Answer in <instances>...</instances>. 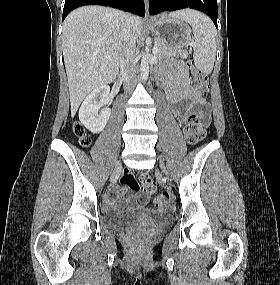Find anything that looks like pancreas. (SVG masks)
Here are the masks:
<instances>
[{
	"label": "pancreas",
	"instance_id": "obj_1",
	"mask_svg": "<svg viewBox=\"0 0 280 285\" xmlns=\"http://www.w3.org/2000/svg\"><path fill=\"white\" fill-rule=\"evenodd\" d=\"M155 46L159 48V52L156 54V57L159 59L170 57H181L186 59L188 57V53L186 51L177 49L173 45L160 38L155 39Z\"/></svg>",
	"mask_w": 280,
	"mask_h": 285
}]
</instances>
